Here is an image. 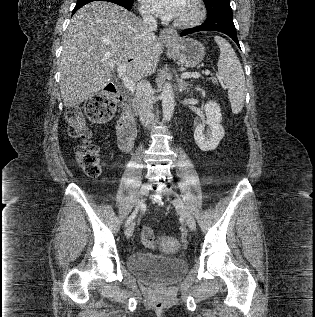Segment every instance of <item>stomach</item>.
<instances>
[{"label": "stomach", "mask_w": 315, "mask_h": 317, "mask_svg": "<svg viewBox=\"0 0 315 317\" xmlns=\"http://www.w3.org/2000/svg\"><path fill=\"white\" fill-rule=\"evenodd\" d=\"M168 52L179 62L181 66L193 68L198 65L205 56L203 44L192 38L175 37L171 41H165Z\"/></svg>", "instance_id": "obj_1"}]
</instances>
